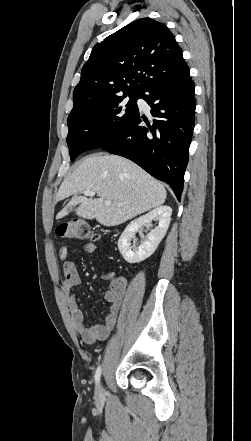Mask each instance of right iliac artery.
<instances>
[{
  "mask_svg": "<svg viewBox=\"0 0 251 441\" xmlns=\"http://www.w3.org/2000/svg\"><path fill=\"white\" fill-rule=\"evenodd\" d=\"M101 371H102L101 366H98V368H97V370H96V372H95V376H94V378H95V382H96V383H98L99 380H100V377H101Z\"/></svg>",
  "mask_w": 251,
  "mask_h": 441,
  "instance_id": "1",
  "label": "right iliac artery"
}]
</instances>
